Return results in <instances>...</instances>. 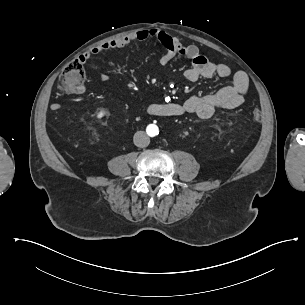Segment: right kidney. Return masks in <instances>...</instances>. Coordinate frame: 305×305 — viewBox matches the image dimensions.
<instances>
[{
  "instance_id": "right-kidney-1",
  "label": "right kidney",
  "mask_w": 305,
  "mask_h": 305,
  "mask_svg": "<svg viewBox=\"0 0 305 305\" xmlns=\"http://www.w3.org/2000/svg\"><path fill=\"white\" fill-rule=\"evenodd\" d=\"M105 112L104 111H101L99 114H98V118H102L104 116Z\"/></svg>"
}]
</instances>
